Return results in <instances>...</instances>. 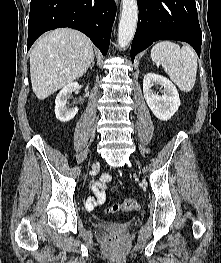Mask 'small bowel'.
Returning a JSON list of instances; mask_svg holds the SVG:
<instances>
[{
  "instance_id": "small-bowel-1",
  "label": "small bowel",
  "mask_w": 221,
  "mask_h": 263,
  "mask_svg": "<svg viewBox=\"0 0 221 263\" xmlns=\"http://www.w3.org/2000/svg\"><path fill=\"white\" fill-rule=\"evenodd\" d=\"M111 180L110 174H103L99 181L95 182L92 185L93 196L86 198L85 208L88 211L94 210L96 207L103 205L106 202V186L107 183Z\"/></svg>"
}]
</instances>
